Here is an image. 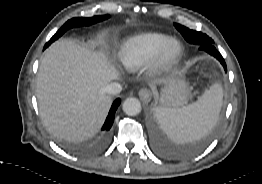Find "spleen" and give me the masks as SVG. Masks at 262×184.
I'll use <instances>...</instances> for the list:
<instances>
[{
	"instance_id": "obj_1",
	"label": "spleen",
	"mask_w": 262,
	"mask_h": 184,
	"mask_svg": "<svg viewBox=\"0 0 262 184\" xmlns=\"http://www.w3.org/2000/svg\"><path fill=\"white\" fill-rule=\"evenodd\" d=\"M222 99V86L215 83L192 104L182 108L157 107L156 117L172 140L179 143L197 140L217 123Z\"/></svg>"
}]
</instances>
